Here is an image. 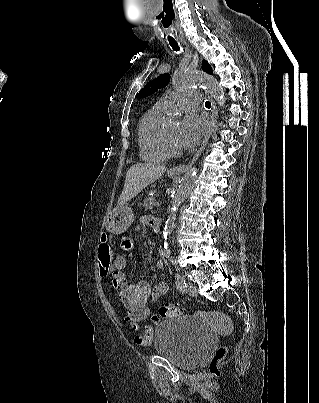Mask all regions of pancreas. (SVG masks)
<instances>
[{
    "label": "pancreas",
    "instance_id": "cf45deb5",
    "mask_svg": "<svg viewBox=\"0 0 319 403\" xmlns=\"http://www.w3.org/2000/svg\"><path fill=\"white\" fill-rule=\"evenodd\" d=\"M154 203H155V200H154L153 197L145 198L144 203H143V207L145 209H150L151 210V209H153Z\"/></svg>",
    "mask_w": 319,
    "mask_h": 403
}]
</instances>
